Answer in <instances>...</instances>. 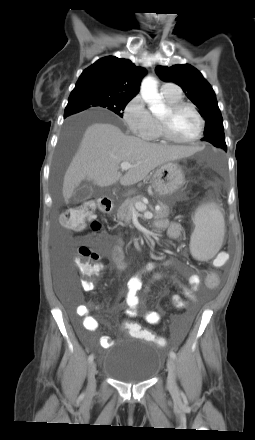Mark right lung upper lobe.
Returning <instances> with one entry per match:
<instances>
[{"instance_id": "obj_1", "label": "right lung upper lobe", "mask_w": 255, "mask_h": 440, "mask_svg": "<svg viewBox=\"0 0 255 440\" xmlns=\"http://www.w3.org/2000/svg\"><path fill=\"white\" fill-rule=\"evenodd\" d=\"M145 74L144 68L130 60L107 56L82 72L72 92H103L132 99L138 94Z\"/></svg>"}]
</instances>
